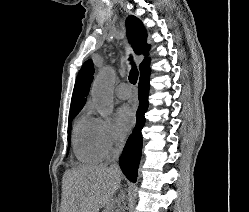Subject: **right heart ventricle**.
<instances>
[{"instance_id": "1", "label": "right heart ventricle", "mask_w": 249, "mask_h": 212, "mask_svg": "<svg viewBox=\"0 0 249 212\" xmlns=\"http://www.w3.org/2000/svg\"><path fill=\"white\" fill-rule=\"evenodd\" d=\"M94 121L80 117L73 126L71 143L75 157L81 162H98L99 150L95 141Z\"/></svg>"}]
</instances>
